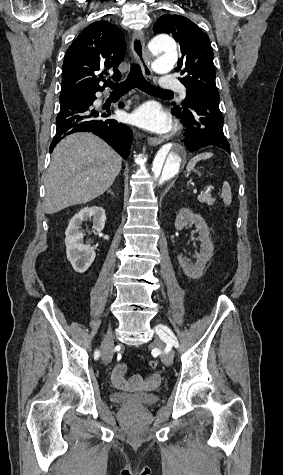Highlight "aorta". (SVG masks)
<instances>
[{
	"label": "aorta",
	"mask_w": 283,
	"mask_h": 475,
	"mask_svg": "<svg viewBox=\"0 0 283 475\" xmlns=\"http://www.w3.org/2000/svg\"><path fill=\"white\" fill-rule=\"evenodd\" d=\"M149 49L157 57L154 68L165 74L172 70L177 61V44L168 35H158L149 43ZM187 152L182 144L167 143L156 153L148 173V188L154 193L164 190L182 169Z\"/></svg>",
	"instance_id": "aorta-1"
}]
</instances>
